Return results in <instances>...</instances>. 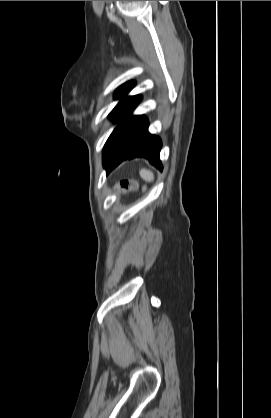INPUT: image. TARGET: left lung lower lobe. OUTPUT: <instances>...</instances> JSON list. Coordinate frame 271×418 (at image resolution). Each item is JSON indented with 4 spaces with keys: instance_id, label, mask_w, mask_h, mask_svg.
I'll return each mask as SVG.
<instances>
[{
    "instance_id": "left-lung-lower-lobe-1",
    "label": "left lung lower lobe",
    "mask_w": 271,
    "mask_h": 418,
    "mask_svg": "<svg viewBox=\"0 0 271 418\" xmlns=\"http://www.w3.org/2000/svg\"><path fill=\"white\" fill-rule=\"evenodd\" d=\"M148 121L144 116L130 113L119 123L108 138L103 149V166L109 173L127 159L144 157L162 170L159 159L160 138L148 133Z\"/></svg>"
}]
</instances>
